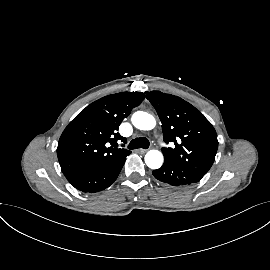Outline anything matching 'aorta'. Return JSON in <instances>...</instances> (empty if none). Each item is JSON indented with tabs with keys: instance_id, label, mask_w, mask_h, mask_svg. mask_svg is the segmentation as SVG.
Instances as JSON below:
<instances>
[{
	"instance_id": "obj_1",
	"label": "aorta",
	"mask_w": 270,
	"mask_h": 270,
	"mask_svg": "<svg viewBox=\"0 0 270 270\" xmlns=\"http://www.w3.org/2000/svg\"><path fill=\"white\" fill-rule=\"evenodd\" d=\"M132 124L140 130H151L156 125L155 118L143 111H137L132 115ZM163 154L158 150H150L145 155V163L151 169H158L163 164Z\"/></svg>"
}]
</instances>
